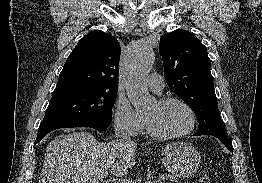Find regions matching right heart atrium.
Listing matches in <instances>:
<instances>
[{"instance_id": "d8ad5b80", "label": "right heart atrium", "mask_w": 262, "mask_h": 183, "mask_svg": "<svg viewBox=\"0 0 262 183\" xmlns=\"http://www.w3.org/2000/svg\"><path fill=\"white\" fill-rule=\"evenodd\" d=\"M113 122L116 130L128 136L140 134L145 126L144 119L123 98H118L115 102Z\"/></svg>"}]
</instances>
